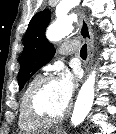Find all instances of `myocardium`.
Returning <instances> with one entry per match:
<instances>
[{
    "mask_svg": "<svg viewBox=\"0 0 116 134\" xmlns=\"http://www.w3.org/2000/svg\"><path fill=\"white\" fill-rule=\"evenodd\" d=\"M57 81L53 75H46L41 77L36 84L31 88L26 99V106L29 114L37 121L43 123H54L65 119L70 111L71 106L68 104L67 108L61 113H52L42 105V96L48 85Z\"/></svg>",
    "mask_w": 116,
    "mask_h": 134,
    "instance_id": "f54148a6",
    "label": "myocardium"
}]
</instances>
